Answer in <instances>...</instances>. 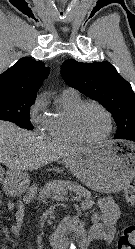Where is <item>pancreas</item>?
I'll use <instances>...</instances> for the list:
<instances>
[{
	"mask_svg": "<svg viewBox=\"0 0 135 249\" xmlns=\"http://www.w3.org/2000/svg\"><path fill=\"white\" fill-rule=\"evenodd\" d=\"M65 188H70L74 190L75 192H77V194L82 197H85L87 200L91 198V193L84 187L61 180L48 182L43 188L40 189L39 198L41 200L46 198L55 199L61 195L62 191Z\"/></svg>",
	"mask_w": 135,
	"mask_h": 249,
	"instance_id": "obj_1",
	"label": "pancreas"
}]
</instances>
